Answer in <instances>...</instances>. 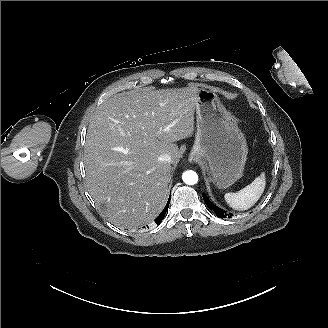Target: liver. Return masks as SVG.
<instances>
[{
    "label": "liver",
    "mask_w": 328,
    "mask_h": 328,
    "mask_svg": "<svg viewBox=\"0 0 328 328\" xmlns=\"http://www.w3.org/2000/svg\"><path fill=\"white\" fill-rule=\"evenodd\" d=\"M196 86L138 88L106 100L94 113L86 135V184L96 207L121 228L149 223L165 201L174 143L194 132ZM168 128V130H167ZM169 154L171 162L159 161Z\"/></svg>",
    "instance_id": "liver-1"
}]
</instances>
